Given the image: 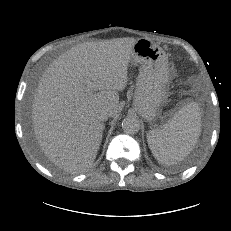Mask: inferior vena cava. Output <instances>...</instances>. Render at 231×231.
I'll return each instance as SVG.
<instances>
[{
    "mask_svg": "<svg viewBox=\"0 0 231 231\" xmlns=\"http://www.w3.org/2000/svg\"><path fill=\"white\" fill-rule=\"evenodd\" d=\"M108 117H110V110L108 108H103L98 113V118L100 121H105L108 119Z\"/></svg>",
    "mask_w": 231,
    "mask_h": 231,
    "instance_id": "obj_1",
    "label": "inferior vena cava"
}]
</instances>
